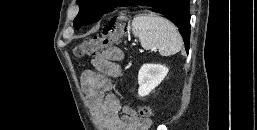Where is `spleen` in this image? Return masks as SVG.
<instances>
[{
    "label": "spleen",
    "instance_id": "obj_1",
    "mask_svg": "<svg viewBox=\"0 0 257 130\" xmlns=\"http://www.w3.org/2000/svg\"><path fill=\"white\" fill-rule=\"evenodd\" d=\"M132 32L145 50L157 49L161 56L174 55L182 48V37L176 26L155 13L136 15Z\"/></svg>",
    "mask_w": 257,
    "mask_h": 130
}]
</instances>
